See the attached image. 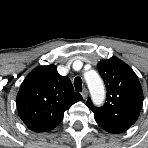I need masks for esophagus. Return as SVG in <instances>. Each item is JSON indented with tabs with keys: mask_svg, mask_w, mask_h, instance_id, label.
Here are the masks:
<instances>
[{
	"mask_svg": "<svg viewBox=\"0 0 148 148\" xmlns=\"http://www.w3.org/2000/svg\"><path fill=\"white\" fill-rule=\"evenodd\" d=\"M81 94H82L83 98H87L88 97V90L86 88H84Z\"/></svg>",
	"mask_w": 148,
	"mask_h": 148,
	"instance_id": "obj_1",
	"label": "esophagus"
}]
</instances>
